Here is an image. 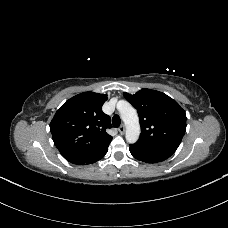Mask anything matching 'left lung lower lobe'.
<instances>
[{"instance_id": "0a47b994", "label": "left lung lower lobe", "mask_w": 228, "mask_h": 228, "mask_svg": "<svg viewBox=\"0 0 228 228\" xmlns=\"http://www.w3.org/2000/svg\"><path fill=\"white\" fill-rule=\"evenodd\" d=\"M130 153L137 160L146 163H157L168 159L174 152L165 149L141 147L136 144H132L130 145Z\"/></svg>"}]
</instances>
